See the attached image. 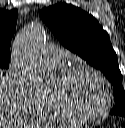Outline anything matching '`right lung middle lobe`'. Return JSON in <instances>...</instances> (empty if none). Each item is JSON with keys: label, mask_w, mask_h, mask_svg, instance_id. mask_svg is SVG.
Segmentation results:
<instances>
[{"label": "right lung middle lobe", "mask_w": 125, "mask_h": 128, "mask_svg": "<svg viewBox=\"0 0 125 128\" xmlns=\"http://www.w3.org/2000/svg\"><path fill=\"white\" fill-rule=\"evenodd\" d=\"M9 67V61H0V68L7 69Z\"/></svg>", "instance_id": "1"}]
</instances>
